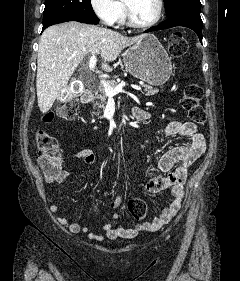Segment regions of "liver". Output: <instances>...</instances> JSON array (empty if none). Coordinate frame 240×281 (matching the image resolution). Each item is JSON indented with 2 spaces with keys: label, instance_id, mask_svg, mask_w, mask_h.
<instances>
[{
  "label": "liver",
  "instance_id": "1",
  "mask_svg": "<svg viewBox=\"0 0 240 281\" xmlns=\"http://www.w3.org/2000/svg\"><path fill=\"white\" fill-rule=\"evenodd\" d=\"M145 36L126 37L107 28L75 21L48 27L40 37L37 57L36 90L40 111L46 113L51 109L85 57L100 54L102 69L111 72L109 63L124 48Z\"/></svg>",
  "mask_w": 240,
  "mask_h": 281
}]
</instances>
